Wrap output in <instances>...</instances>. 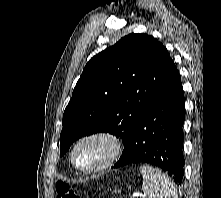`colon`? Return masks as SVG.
I'll use <instances>...</instances> for the list:
<instances>
[{
	"mask_svg": "<svg viewBox=\"0 0 221 198\" xmlns=\"http://www.w3.org/2000/svg\"><path fill=\"white\" fill-rule=\"evenodd\" d=\"M57 198H78L76 191L64 182L56 183Z\"/></svg>",
	"mask_w": 221,
	"mask_h": 198,
	"instance_id": "obj_1",
	"label": "colon"
}]
</instances>
